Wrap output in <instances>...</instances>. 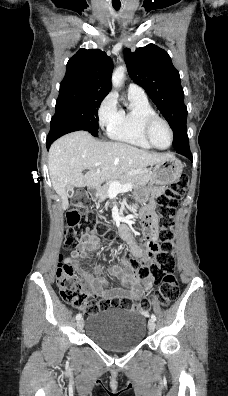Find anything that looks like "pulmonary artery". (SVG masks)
Wrapping results in <instances>:
<instances>
[{"mask_svg": "<svg viewBox=\"0 0 228 396\" xmlns=\"http://www.w3.org/2000/svg\"><path fill=\"white\" fill-rule=\"evenodd\" d=\"M128 93L137 96H146L144 89L136 83L131 82L128 86Z\"/></svg>", "mask_w": 228, "mask_h": 396, "instance_id": "1", "label": "pulmonary artery"}]
</instances>
